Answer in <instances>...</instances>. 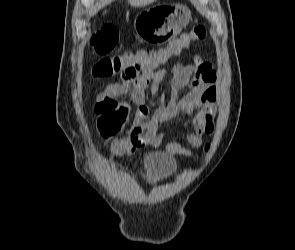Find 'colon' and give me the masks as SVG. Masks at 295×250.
<instances>
[{
  "instance_id": "1",
  "label": "colon",
  "mask_w": 295,
  "mask_h": 250,
  "mask_svg": "<svg viewBox=\"0 0 295 250\" xmlns=\"http://www.w3.org/2000/svg\"><path fill=\"white\" fill-rule=\"evenodd\" d=\"M207 36V28L204 25H197L189 32L183 33L169 42L167 49L171 52H183L194 42L204 40ZM118 42V32L112 25H105L96 31L91 39V52L94 55L109 53ZM129 66V60L124 55L105 56L99 59L92 68V75L95 78H109L122 73ZM98 116L97 128L99 133L106 137L116 136L125 125L129 108L127 105L118 103L112 98H105L95 106ZM209 149L206 145L205 150Z\"/></svg>"
}]
</instances>
